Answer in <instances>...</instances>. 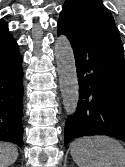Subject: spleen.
<instances>
[{"mask_svg":"<svg viewBox=\"0 0 125 167\" xmlns=\"http://www.w3.org/2000/svg\"><path fill=\"white\" fill-rule=\"evenodd\" d=\"M71 156L79 167H125V149L107 136H87L70 145Z\"/></svg>","mask_w":125,"mask_h":167,"instance_id":"1","label":"spleen"}]
</instances>
